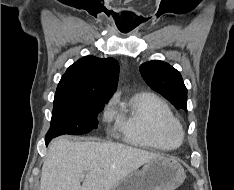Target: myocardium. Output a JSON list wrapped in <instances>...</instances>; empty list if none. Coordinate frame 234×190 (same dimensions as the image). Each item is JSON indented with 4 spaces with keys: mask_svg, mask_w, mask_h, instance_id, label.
Instances as JSON below:
<instances>
[{
    "mask_svg": "<svg viewBox=\"0 0 234 190\" xmlns=\"http://www.w3.org/2000/svg\"><path fill=\"white\" fill-rule=\"evenodd\" d=\"M171 136L173 137V139H175L179 143L182 141L183 136H184V131H183V128L181 127L180 124H178L172 128Z\"/></svg>",
    "mask_w": 234,
    "mask_h": 190,
    "instance_id": "obj_1",
    "label": "myocardium"
}]
</instances>
